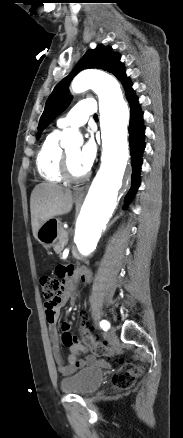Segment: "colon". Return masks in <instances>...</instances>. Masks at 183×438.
<instances>
[{
	"mask_svg": "<svg viewBox=\"0 0 183 438\" xmlns=\"http://www.w3.org/2000/svg\"><path fill=\"white\" fill-rule=\"evenodd\" d=\"M40 284L43 296L47 300H52L60 287L59 280L51 276L42 277ZM80 317V334L84 344L88 346L95 355L115 357L116 361L121 363V366L112 378L113 389L118 393L132 389L136 380L142 374V367L138 364L123 362L122 359L118 358V354L113 348L105 343L95 341L89 330L90 326L87 312L82 311Z\"/></svg>",
	"mask_w": 183,
	"mask_h": 438,
	"instance_id": "obj_1",
	"label": "colon"
}]
</instances>
